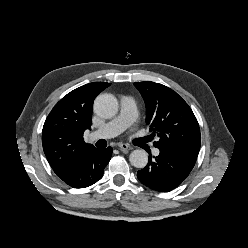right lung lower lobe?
<instances>
[{
	"label": "right lung lower lobe",
	"mask_w": 248,
	"mask_h": 248,
	"mask_svg": "<svg viewBox=\"0 0 248 248\" xmlns=\"http://www.w3.org/2000/svg\"><path fill=\"white\" fill-rule=\"evenodd\" d=\"M112 155V148L97 149L95 147L86 151L78 161L64 174L60 175L66 184L73 188L88 187L103 176V171Z\"/></svg>",
	"instance_id": "right-lung-lower-lobe-1"
}]
</instances>
